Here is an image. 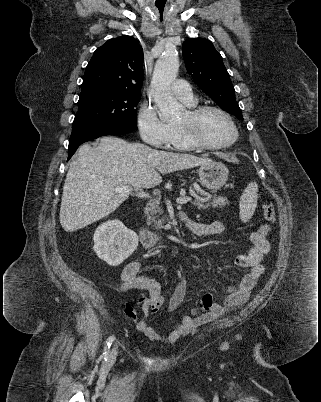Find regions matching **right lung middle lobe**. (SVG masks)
<instances>
[{"instance_id":"dd1d6c3e","label":"right lung middle lobe","mask_w":321,"mask_h":402,"mask_svg":"<svg viewBox=\"0 0 321 402\" xmlns=\"http://www.w3.org/2000/svg\"><path fill=\"white\" fill-rule=\"evenodd\" d=\"M140 95L102 88H82L73 125L83 123H126L137 125Z\"/></svg>"}]
</instances>
